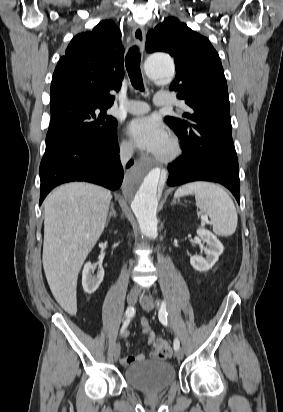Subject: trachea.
I'll use <instances>...</instances> for the list:
<instances>
[{
	"mask_svg": "<svg viewBox=\"0 0 283 412\" xmlns=\"http://www.w3.org/2000/svg\"><path fill=\"white\" fill-rule=\"evenodd\" d=\"M125 65L132 86L135 89L144 91V84L140 70V54L138 46H133L130 48L125 58Z\"/></svg>",
	"mask_w": 283,
	"mask_h": 412,
	"instance_id": "trachea-1",
	"label": "trachea"
}]
</instances>
